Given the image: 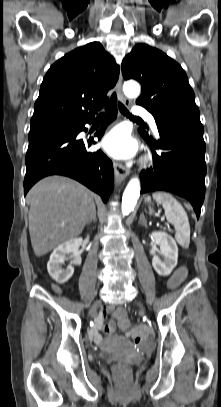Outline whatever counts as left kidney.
I'll use <instances>...</instances> for the list:
<instances>
[{"mask_svg": "<svg viewBox=\"0 0 221 407\" xmlns=\"http://www.w3.org/2000/svg\"><path fill=\"white\" fill-rule=\"evenodd\" d=\"M152 237L156 244L160 246L163 255V260H160V258L155 255L152 259V266L160 276H168L177 265V244L170 235L163 231L153 232Z\"/></svg>", "mask_w": 221, "mask_h": 407, "instance_id": "obj_1", "label": "left kidney"}]
</instances>
